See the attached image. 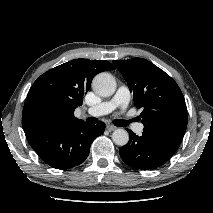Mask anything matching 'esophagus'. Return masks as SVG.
I'll use <instances>...</instances> for the list:
<instances>
[{
    "label": "esophagus",
    "instance_id": "esophagus-1",
    "mask_svg": "<svg viewBox=\"0 0 213 213\" xmlns=\"http://www.w3.org/2000/svg\"><path fill=\"white\" fill-rule=\"evenodd\" d=\"M106 129L111 132V131H114L116 129V127L111 124H107Z\"/></svg>",
    "mask_w": 213,
    "mask_h": 213
}]
</instances>
